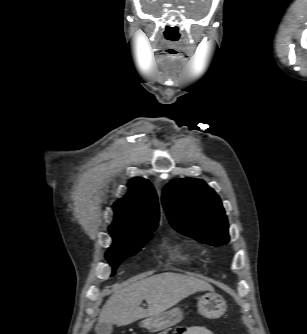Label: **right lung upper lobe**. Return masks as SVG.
Segmentation results:
<instances>
[{"label": "right lung upper lobe", "instance_id": "cb5924a9", "mask_svg": "<svg viewBox=\"0 0 307 334\" xmlns=\"http://www.w3.org/2000/svg\"><path fill=\"white\" fill-rule=\"evenodd\" d=\"M128 187L127 195L114 204L115 220L109 227L111 236L136 234L158 226L159 206L151 183L135 178Z\"/></svg>", "mask_w": 307, "mask_h": 334}]
</instances>
